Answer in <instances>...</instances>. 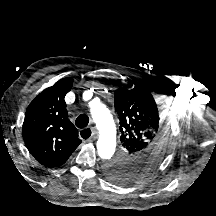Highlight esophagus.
I'll use <instances>...</instances> for the list:
<instances>
[{"instance_id": "obj_1", "label": "esophagus", "mask_w": 216, "mask_h": 216, "mask_svg": "<svg viewBox=\"0 0 216 216\" xmlns=\"http://www.w3.org/2000/svg\"><path fill=\"white\" fill-rule=\"evenodd\" d=\"M90 133V137L87 139L88 141L94 140L97 138V132L92 128H85L79 131V136L82 138V134Z\"/></svg>"}]
</instances>
